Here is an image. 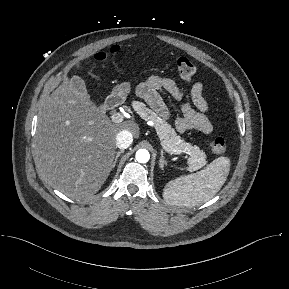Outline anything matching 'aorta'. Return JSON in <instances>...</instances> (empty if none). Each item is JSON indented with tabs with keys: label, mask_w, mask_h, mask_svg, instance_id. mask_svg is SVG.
Returning a JSON list of instances; mask_svg holds the SVG:
<instances>
[{
	"label": "aorta",
	"mask_w": 289,
	"mask_h": 289,
	"mask_svg": "<svg viewBox=\"0 0 289 289\" xmlns=\"http://www.w3.org/2000/svg\"><path fill=\"white\" fill-rule=\"evenodd\" d=\"M135 157L139 163H147L150 159V154H149L148 150H146V149H139L136 152Z\"/></svg>",
	"instance_id": "obj_1"
}]
</instances>
